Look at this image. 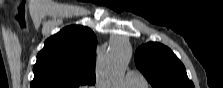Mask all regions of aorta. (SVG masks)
I'll return each instance as SVG.
<instances>
[{
	"label": "aorta",
	"mask_w": 223,
	"mask_h": 88,
	"mask_svg": "<svg viewBox=\"0 0 223 88\" xmlns=\"http://www.w3.org/2000/svg\"><path fill=\"white\" fill-rule=\"evenodd\" d=\"M132 55V48L124 39L114 40L108 49L104 64V77L108 86H117L123 78Z\"/></svg>",
	"instance_id": "1"
}]
</instances>
